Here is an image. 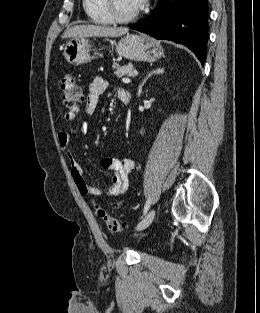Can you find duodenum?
<instances>
[{
    "label": "duodenum",
    "mask_w": 260,
    "mask_h": 313,
    "mask_svg": "<svg viewBox=\"0 0 260 313\" xmlns=\"http://www.w3.org/2000/svg\"><path fill=\"white\" fill-rule=\"evenodd\" d=\"M121 101H122V103H124V104H127V103L129 102L126 98H123Z\"/></svg>",
    "instance_id": "duodenum-1"
}]
</instances>
